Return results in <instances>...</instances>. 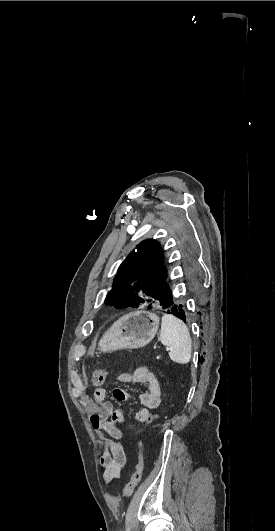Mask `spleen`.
<instances>
[{
    "instance_id": "spleen-1",
    "label": "spleen",
    "mask_w": 275,
    "mask_h": 531,
    "mask_svg": "<svg viewBox=\"0 0 275 531\" xmlns=\"http://www.w3.org/2000/svg\"><path fill=\"white\" fill-rule=\"evenodd\" d=\"M160 341L169 349L174 363L186 365L191 359L192 341L187 325L174 315H163Z\"/></svg>"
}]
</instances>
